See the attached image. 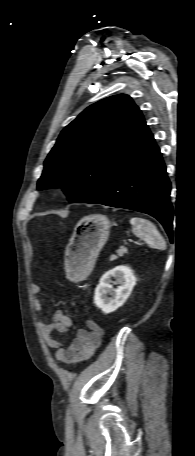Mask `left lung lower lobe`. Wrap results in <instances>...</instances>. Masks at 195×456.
<instances>
[{
    "instance_id": "1",
    "label": "left lung lower lobe",
    "mask_w": 195,
    "mask_h": 456,
    "mask_svg": "<svg viewBox=\"0 0 195 456\" xmlns=\"http://www.w3.org/2000/svg\"><path fill=\"white\" fill-rule=\"evenodd\" d=\"M170 188L160 149L144 122L103 185L84 202L149 214L171 238Z\"/></svg>"
}]
</instances>
